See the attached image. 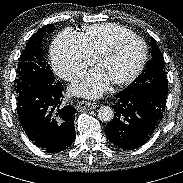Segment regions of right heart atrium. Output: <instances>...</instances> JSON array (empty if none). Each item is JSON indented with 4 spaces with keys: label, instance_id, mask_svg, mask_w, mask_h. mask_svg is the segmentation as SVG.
<instances>
[{
    "label": "right heart atrium",
    "instance_id": "right-heart-atrium-1",
    "mask_svg": "<svg viewBox=\"0 0 183 183\" xmlns=\"http://www.w3.org/2000/svg\"><path fill=\"white\" fill-rule=\"evenodd\" d=\"M51 60L56 73L67 81L78 80L93 64L80 35L73 31L62 32L51 47Z\"/></svg>",
    "mask_w": 183,
    "mask_h": 183
}]
</instances>
